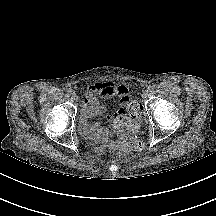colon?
I'll list each match as a JSON object with an SVG mask.
<instances>
[{
	"label": "colon",
	"instance_id": "1",
	"mask_svg": "<svg viewBox=\"0 0 216 216\" xmlns=\"http://www.w3.org/2000/svg\"><path fill=\"white\" fill-rule=\"evenodd\" d=\"M145 116V110L138 101L130 102L124 113L113 122V130L121 136L120 140L111 143V148L117 150L120 156H128L138 151L142 143L138 140L125 137V133H135Z\"/></svg>",
	"mask_w": 216,
	"mask_h": 216
}]
</instances>
